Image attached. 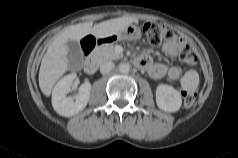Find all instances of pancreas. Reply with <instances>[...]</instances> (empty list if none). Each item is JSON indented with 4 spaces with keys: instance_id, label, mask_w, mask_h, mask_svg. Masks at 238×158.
I'll return each instance as SVG.
<instances>
[{
    "instance_id": "cf45deb5",
    "label": "pancreas",
    "mask_w": 238,
    "mask_h": 158,
    "mask_svg": "<svg viewBox=\"0 0 238 158\" xmlns=\"http://www.w3.org/2000/svg\"><path fill=\"white\" fill-rule=\"evenodd\" d=\"M92 59L98 64L106 61L117 60L122 57L115 52L114 46L112 44H105L92 52Z\"/></svg>"
}]
</instances>
